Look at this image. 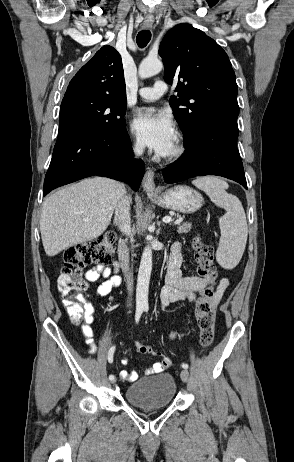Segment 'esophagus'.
Segmentation results:
<instances>
[{
	"label": "esophagus",
	"mask_w": 294,
	"mask_h": 462,
	"mask_svg": "<svg viewBox=\"0 0 294 462\" xmlns=\"http://www.w3.org/2000/svg\"><path fill=\"white\" fill-rule=\"evenodd\" d=\"M152 25H153L152 21H146L143 23L144 28H151ZM154 177H155L154 171L148 167L144 175L143 181H142V187L148 193H153L155 191Z\"/></svg>",
	"instance_id": "1"
}]
</instances>
